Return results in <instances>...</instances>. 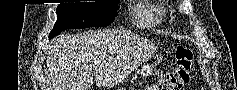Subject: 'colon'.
I'll return each instance as SVG.
<instances>
[{"label": "colon", "instance_id": "obj_1", "mask_svg": "<svg viewBox=\"0 0 237 90\" xmlns=\"http://www.w3.org/2000/svg\"><path fill=\"white\" fill-rule=\"evenodd\" d=\"M176 68L158 79L147 90H183L191 78L193 53L184 46H178L175 52Z\"/></svg>", "mask_w": 237, "mask_h": 90}]
</instances>
